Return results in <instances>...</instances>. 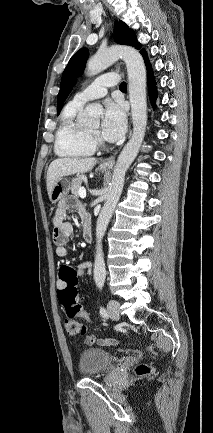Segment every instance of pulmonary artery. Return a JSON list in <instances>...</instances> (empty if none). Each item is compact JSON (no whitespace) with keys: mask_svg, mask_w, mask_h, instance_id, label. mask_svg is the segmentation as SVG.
<instances>
[{"mask_svg":"<svg viewBox=\"0 0 213 433\" xmlns=\"http://www.w3.org/2000/svg\"><path fill=\"white\" fill-rule=\"evenodd\" d=\"M119 82L116 73H107L94 80L88 87L76 93L73 102L77 105H84L86 102L101 98L106 93L109 87L117 85Z\"/></svg>","mask_w":213,"mask_h":433,"instance_id":"1","label":"pulmonary artery"}]
</instances>
